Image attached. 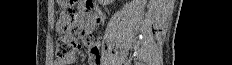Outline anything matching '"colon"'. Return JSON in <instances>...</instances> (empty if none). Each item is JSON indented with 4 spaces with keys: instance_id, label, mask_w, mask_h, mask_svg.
<instances>
[{
    "instance_id": "colon-1",
    "label": "colon",
    "mask_w": 232,
    "mask_h": 65,
    "mask_svg": "<svg viewBox=\"0 0 232 65\" xmlns=\"http://www.w3.org/2000/svg\"><path fill=\"white\" fill-rule=\"evenodd\" d=\"M68 12H73L69 10ZM76 49L75 39L71 37H59L56 42V55L58 58H64Z\"/></svg>"
}]
</instances>
